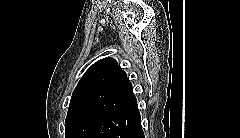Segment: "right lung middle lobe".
Instances as JSON below:
<instances>
[{
    "label": "right lung middle lobe",
    "mask_w": 240,
    "mask_h": 138,
    "mask_svg": "<svg viewBox=\"0 0 240 138\" xmlns=\"http://www.w3.org/2000/svg\"><path fill=\"white\" fill-rule=\"evenodd\" d=\"M108 114L99 112H85L70 117L65 121L66 138H86Z\"/></svg>",
    "instance_id": "obj_1"
}]
</instances>
